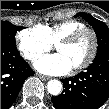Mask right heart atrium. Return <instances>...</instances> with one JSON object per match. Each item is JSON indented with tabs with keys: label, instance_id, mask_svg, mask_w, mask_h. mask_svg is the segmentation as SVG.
<instances>
[{
	"label": "right heart atrium",
	"instance_id": "obj_1",
	"mask_svg": "<svg viewBox=\"0 0 109 109\" xmlns=\"http://www.w3.org/2000/svg\"><path fill=\"white\" fill-rule=\"evenodd\" d=\"M16 44L21 56L29 61L38 59L43 53L52 48V42L41 26L18 32L16 34Z\"/></svg>",
	"mask_w": 109,
	"mask_h": 109
}]
</instances>
